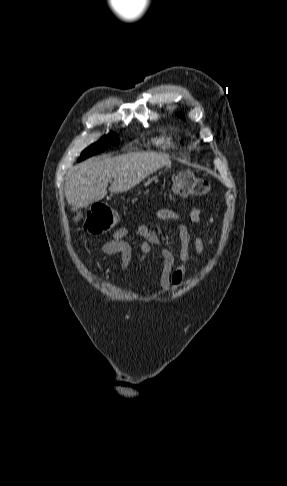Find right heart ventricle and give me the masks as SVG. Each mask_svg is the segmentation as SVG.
<instances>
[{
  "label": "right heart ventricle",
  "mask_w": 287,
  "mask_h": 486,
  "mask_svg": "<svg viewBox=\"0 0 287 486\" xmlns=\"http://www.w3.org/2000/svg\"><path fill=\"white\" fill-rule=\"evenodd\" d=\"M160 141L162 142H165L166 144H173V138L172 137H166V138H162L160 139Z\"/></svg>",
  "instance_id": "obj_1"
}]
</instances>
